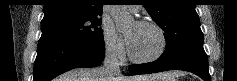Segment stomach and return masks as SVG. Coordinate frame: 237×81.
I'll return each mask as SVG.
<instances>
[{"instance_id":"1","label":"stomach","mask_w":237,"mask_h":81,"mask_svg":"<svg viewBox=\"0 0 237 81\" xmlns=\"http://www.w3.org/2000/svg\"><path fill=\"white\" fill-rule=\"evenodd\" d=\"M152 81H169V80H167V79H165V78H158V79H154V80H152Z\"/></svg>"}]
</instances>
